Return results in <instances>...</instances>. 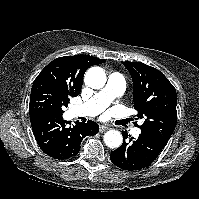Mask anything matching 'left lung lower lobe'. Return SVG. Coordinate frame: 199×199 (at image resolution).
Segmentation results:
<instances>
[{"instance_id": "obj_1", "label": "left lung lower lobe", "mask_w": 199, "mask_h": 199, "mask_svg": "<svg viewBox=\"0 0 199 199\" xmlns=\"http://www.w3.org/2000/svg\"><path fill=\"white\" fill-rule=\"evenodd\" d=\"M130 142L129 144L123 140V144L110 154L114 165L128 171L139 170L151 164L167 144L144 133H141L137 140Z\"/></svg>"}]
</instances>
